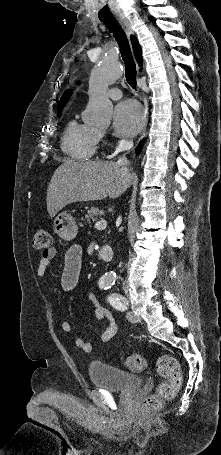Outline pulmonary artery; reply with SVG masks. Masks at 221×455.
Returning <instances> with one entry per match:
<instances>
[{"label":"pulmonary artery","instance_id":"obj_1","mask_svg":"<svg viewBox=\"0 0 221 455\" xmlns=\"http://www.w3.org/2000/svg\"><path fill=\"white\" fill-rule=\"evenodd\" d=\"M109 97L113 100H119L122 97V93L118 88H111L108 92Z\"/></svg>","mask_w":221,"mask_h":455}]
</instances>
